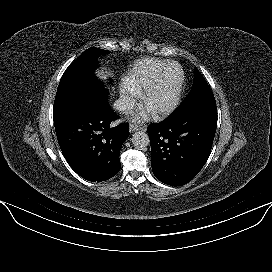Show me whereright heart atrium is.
Here are the masks:
<instances>
[{
  "label": "right heart atrium",
  "instance_id": "1",
  "mask_svg": "<svg viewBox=\"0 0 272 272\" xmlns=\"http://www.w3.org/2000/svg\"><path fill=\"white\" fill-rule=\"evenodd\" d=\"M138 94L132 90L122 87L119 90L118 106L122 112H129L136 104Z\"/></svg>",
  "mask_w": 272,
  "mask_h": 272
}]
</instances>
